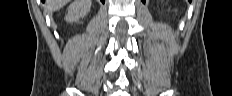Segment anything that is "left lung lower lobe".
<instances>
[{
	"label": "left lung lower lobe",
	"mask_w": 232,
	"mask_h": 96,
	"mask_svg": "<svg viewBox=\"0 0 232 96\" xmlns=\"http://www.w3.org/2000/svg\"><path fill=\"white\" fill-rule=\"evenodd\" d=\"M191 2V0H189ZM143 3H145V0H142Z\"/></svg>",
	"instance_id": "obj_1"
}]
</instances>
